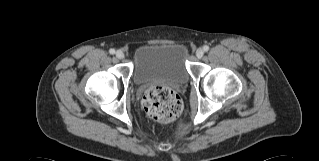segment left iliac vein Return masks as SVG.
Here are the masks:
<instances>
[{"mask_svg": "<svg viewBox=\"0 0 319 161\" xmlns=\"http://www.w3.org/2000/svg\"><path fill=\"white\" fill-rule=\"evenodd\" d=\"M203 54H204V51H203L202 48L197 49V51H196V56H197L198 58H201V57L203 56Z\"/></svg>", "mask_w": 319, "mask_h": 161, "instance_id": "1", "label": "left iliac vein"}]
</instances>
